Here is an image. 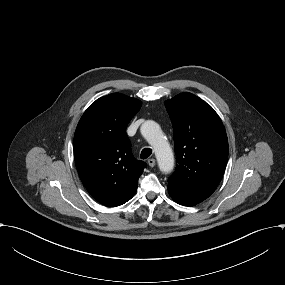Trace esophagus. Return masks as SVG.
Returning a JSON list of instances; mask_svg holds the SVG:
<instances>
[{"label":"esophagus","mask_w":285,"mask_h":285,"mask_svg":"<svg viewBox=\"0 0 285 285\" xmlns=\"http://www.w3.org/2000/svg\"><path fill=\"white\" fill-rule=\"evenodd\" d=\"M155 164H156V160H155V159L151 158V159L148 160V165H149L150 167H154Z\"/></svg>","instance_id":"esophagus-1"}]
</instances>
